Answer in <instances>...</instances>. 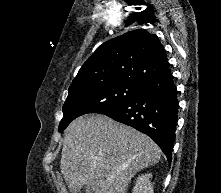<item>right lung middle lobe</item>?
<instances>
[{"mask_svg": "<svg viewBox=\"0 0 221 193\" xmlns=\"http://www.w3.org/2000/svg\"><path fill=\"white\" fill-rule=\"evenodd\" d=\"M141 86V83L117 82L69 90L63 105L64 116L59 124V132L81 115L100 113L131 99Z\"/></svg>", "mask_w": 221, "mask_h": 193, "instance_id": "dd1d6c3e", "label": "right lung middle lobe"}]
</instances>
